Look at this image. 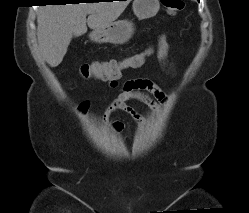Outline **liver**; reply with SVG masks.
<instances>
[{
  "mask_svg": "<svg viewBox=\"0 0 249 213\" xmlns=\"http://www.w3.org/2000/svg\"><path fill=\"white\" fill-rule=\"evenodd\" d=\"M127 1L60 4L43 6L37 16L39 49L51 67L63 60L73 36L99 29L114 22L125 10ZM88 16L86 20V16ZM87 23V25H86Z\"/></svg>",
  "mask_w": 249,
  "mask_h": 213,
  "instance_id": "obj_1",
  "label": "liver"
}]
</instances>
